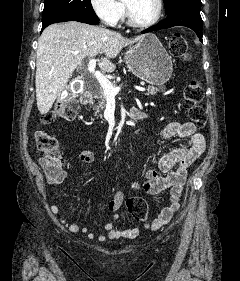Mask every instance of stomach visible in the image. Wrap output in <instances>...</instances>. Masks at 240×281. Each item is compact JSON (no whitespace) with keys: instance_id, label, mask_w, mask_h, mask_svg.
Returning <instances> with one entry per match:
<instances>
[{"instance_id":"0dacf381","label":"stomach","mask_w":240,"mask_h":281,"mask_svg":"<svg viewBox=\"0 0 240 281\" xmlns=\"http://www.w3.org/2000/svg\"><path fill=\"white\" fill-rule=\"evenodd\" d=\"M124 59L134 75L150 84L163 85L172 75L171 57L153 34L146 35L132 46Z\"/></svg>"}]
</instances>
